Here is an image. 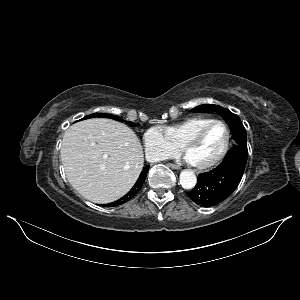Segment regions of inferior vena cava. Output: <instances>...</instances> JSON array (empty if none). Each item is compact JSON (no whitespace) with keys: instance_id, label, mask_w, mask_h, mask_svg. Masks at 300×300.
Here are the masks:
<instances>
[{"instance_id":"602c4592","label":"inferior vena cava","mask_w":300,"mask_h":300,"mask_svg":"<svg viewBox=\"0 0 300 300\" xmlns=\"http://www.w3.org/2000/svg\"><path fill=\"white\" fill-rule=\"evenodd\" d=\"M164 159V156L157 152L146 151V160L148 162H158Z\"/></svg>"}]
</instances>
